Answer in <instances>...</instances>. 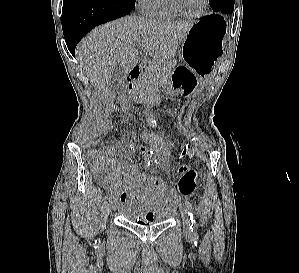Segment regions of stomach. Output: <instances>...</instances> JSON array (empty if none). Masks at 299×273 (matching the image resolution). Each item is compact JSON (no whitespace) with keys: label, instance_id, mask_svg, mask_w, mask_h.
<instances>
[{"label":"stomach","instance_id":"0dacf381","mask_svg":"<svg viewBox=\"0 0 299 273\" xmlns=\"http://www.w3.org/2000/svg\"><path fill=\"white\" fill-rule=\"evenodd\" d=\"M226 21L218 14L195 22L183 41L184 64L174 67V75L166 78L165 89L170 94L189 96L200 88L201 76L217 74V62L223 53Z\"/></svg>","mask_w":299,"mask_h":273}]
</instances>
